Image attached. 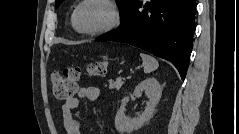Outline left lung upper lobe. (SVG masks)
<instances>
[{
  "label": "left lung upper lobe",
  "mask_w": 239,
  "mask_h": 134,
  "mask_svg": "<svg viewBox=\"0 0 239 134\" xmlns=\"http://www.w3.org/2000/svg\"><path fill=\"white\" fill-rule=\"evenodd\" d=\"M116 1L121 13V17L123 18L127 14L128 10L130 9L131 5L134 3L135 0H116ZM62 2L63 0H56L55 1L56 8H58Z\"/></svg>",
  "instance_id": "1"
}]
</instances>
